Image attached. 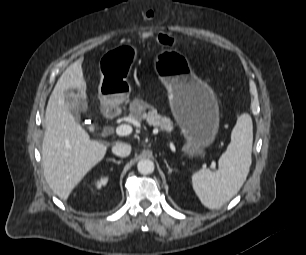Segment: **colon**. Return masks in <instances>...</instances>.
Returning a JSON list of instances; mask_svg holds the SVG:
<instances>
[{
	"label": "colon",
	"mask_w": 306,
	"mask_h": 255,
	"mask_svg": "<svg viewBox=\"0 0 306 255\" xmlns=\"http://www.w3.org/2000/svg\"><path fill=\"white\" fill-rule=\"evenodd\" d=\"M157 13H158L157 8L152 7V8L148 9V10L145 12V16H146V18L151 19V18H153L154 16H156ZM150 37H151V34H150V33H146V34L143 36L144 39H148V38H150ZM158 41H159L161 44H163V45H168V46L173 45V40H172L170 37L166 36V35H162V34L158 35Z\"/></svg>",
	"instance_id": "obj_1"
}]
</instances>
